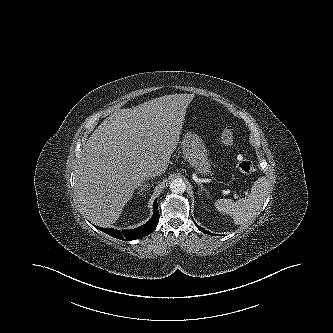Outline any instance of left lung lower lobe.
Returning <instances> with one entry per match:
<instances>
[{
	"mask_svg": "<svg viewBox=\"0 0 333 333\" xmlns=\"http://www.w3.org/2000/svg\"><path fill=\"white\" fill-rule=\"evenodd\" d=\"M198 228H199V230H201L202 232H204V233H206V234H209V235H214V234H212V233H209L208 231H205L203 228H201L200 226H198V225H196Z\"/></svg>",
	"mask_w": 333,
	"mask_h": 333,
	"instance_id": "1",
	"label": "left lung lower lobe"
}]
</instances>
